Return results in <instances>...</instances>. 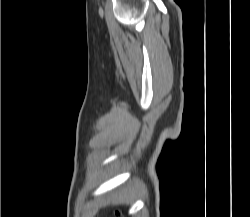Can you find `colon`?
I'll return each instance as SVG.
<instances>
[{
  "instance_id": "1",
  "label": "colon",
  "mask_w": 250,
  "mask_h": 217,
  "mask_svg": "<svg viewBox=\"0 0 250 217\" xmlns=\"http://www.w3.org/2000/svg\"><path fill=\"white\" fill-rule=\"evenodd\" d=\"M115 216L119 217V216H120V212H119V211H116V212H115Z\"/></svg>"
}]
</instances>
